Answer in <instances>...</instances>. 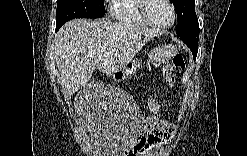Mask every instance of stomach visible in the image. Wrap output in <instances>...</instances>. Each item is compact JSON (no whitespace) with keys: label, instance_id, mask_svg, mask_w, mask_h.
<instances>
[{"label":"stomach","instance_id":"obj_1","mask_svg":"<svg viewBox=\"0 0 247 156\" xmlns=\"http://www.w3.org/2000/svg\"><path fill=\"white\" fill-rule=\"evenodd\" d=\"M177 52V48L173 45H164L153 49L149 54V62L154 66H160L169 61ZM141 62L137 59L129 62L126 67L116 72L117 78H127L135 73L136 69L140 66Z\"/></svg>","mask_w":247,"mask_h":156}]
</instances>
